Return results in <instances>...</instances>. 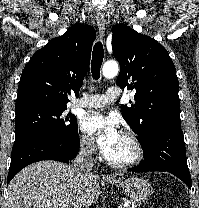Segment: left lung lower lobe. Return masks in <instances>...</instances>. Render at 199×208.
<instances>
[{
  "instance_id": "obj_1",
  "label": "left lung lower lobe",
  "mask_w": 199,
  "mask_h": 208,
  "mask_svg": "<svg viewBox=\"0 0 199 208\" xmlns=\"http://www.w3.org/2000/svg\"><path fill=\"white\" fill-rule=\"evenodd\" d=\"M144 160L132 172L167 171L181 179L191 189V176L187 166L181 123L155 128L142 145Z\"/></svg>"
}]
</instances>
